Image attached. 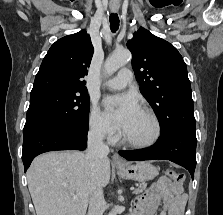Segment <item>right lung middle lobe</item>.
I'll return each instance as SVG.
<instances>
[{"mask_svg": "<svg viewBox=\"0 0 223 215\" xmlns=\"http://www.w3.org/2000/svg\"><path fill=\"white\" fill-rule=\"evenodd\" d=\"M89 109L88 95L60 91L31 93L23 134L49 127L88 131Z\"/></svg>", "mask_w": 223, "mask_h": 215, "instance_id": "1", "label": "right lung middle lobe"}]
</instances>
